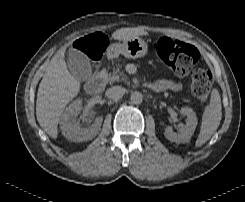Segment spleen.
<instances>
[{"label":"spleen","mask_w":245,"mask_h":202,"mask_svg":"<svg viewBox=\"0 0 245 202\" xmlns=\"http://www.w3.org/2000/svg\"><path fill=\"white\" fill-rule=\"evenodd\" d=\"M222 118L221 97L217 89H213L209 105L204 109L201 129L195 146L201 147L216 132Z\"/></svg>","instance_id":"obj_1"}]
</instances>
